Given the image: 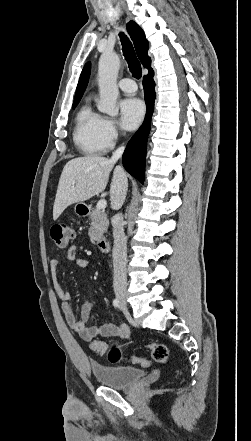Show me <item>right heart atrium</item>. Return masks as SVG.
<instances>
[{
    "instance_id": "d8ad5b80",
    "label": "right heart atrium",
    "mask_w": 251,
    "mask_h": 441,
    "mask_svg": "<svg viewBox=\"0 0 251 441\" xmlns=\"http://www.w3.org/2000/svg\"><path fill=\"white\" fill-rule=\"evenodd\" d=\"M101 132L103 138L109 146H112L114 144L119 135V130L116 122L110 118H103Z\"/></svg>"
}]
</instances>
